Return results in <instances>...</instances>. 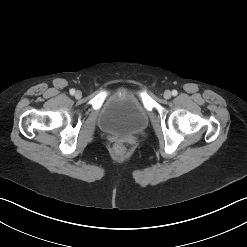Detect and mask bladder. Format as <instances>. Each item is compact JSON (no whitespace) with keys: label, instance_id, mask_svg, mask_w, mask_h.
I'll return each instance as SVG.
<instances>
[{"label":"bladder","instance_id":"31cf9c89","mask_svg":"<svg viewBox=\"0 0 247 247\" xmlns=\"http://www.w3.org/2000/svg\"><path fill=\"white\" fill-rule=\"evenodd\" d=\"M148 124L147 114L131 92H116L107 97L99 112V126L107 133L137 135Z\"/></svg>","mask_w":247,"mask_h":247}]
</instances>
